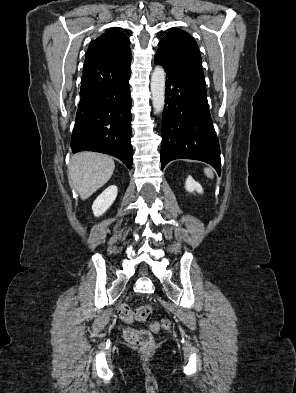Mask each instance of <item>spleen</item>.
I'll return each mask as SVG.
<instances>
[{"instance_id": "spleen-1", "label": "spleen", "mask_w": 296, "mask_h": 393, "mask_svg": "<svg viewBox=\"0 0 296 393\" xmlns=\"http://www.w3.org/2000/svg\"><path fill=\"white\" fill-rule=\"evenodd\" d=\"M204 172H205V174H206L207 177H209V178H213V177H214L212 169H210V168H205V169H204Z\"/></svg>"}]
</instances>
